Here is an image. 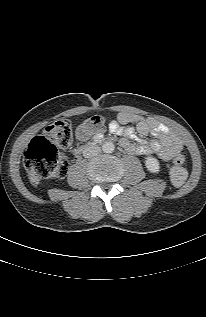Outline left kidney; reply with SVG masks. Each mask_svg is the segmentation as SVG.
I'll list each match as a JSON object with an SVG mask.
<instances>
[{
  "instance_id": "5707ae66",
  "label": "left kidney",
  "mask_w": 206,
  "mask_h": 317,
  "mask_svg": "<svg viewBox=\"0 0 206 317\" xmlns=\"http://www.w3.org/2000/svg\"><path fill=\"white\" fill-rule=\"evenodd\" d=\"M145 165H146V168L151 172V173H158L159 172V169H160V164H159V161L158 159H156L155 157H152V156H148L146 158V161H145Z\"/></svg>"
}]
</instances>
